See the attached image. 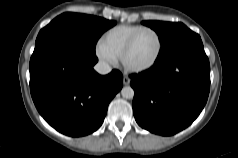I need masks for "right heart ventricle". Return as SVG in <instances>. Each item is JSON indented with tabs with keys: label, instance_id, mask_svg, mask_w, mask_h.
<instances>
[{
	"label": "right heart ventricle",
	"instance_id": "1",
	"mask_svg": "<svg viewBox=\"0 0 238 158\" xmlns=\"http://www.w3.org/2000/svg\"><path fill=\"white\" fill-rule=\"evenodd\" d=\"M142 27L129 24L112 27L104 33L100 42L113 55L120 57L130 37Z\"/></svg>",
	"mask_w": 238,
	"mask_h": 158
}]
</instances>
